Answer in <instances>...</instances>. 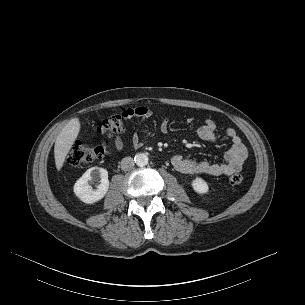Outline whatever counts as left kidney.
<instances>
[{
    "instance_id": "obj_1",
    "label": "left kidney",
    "mask_w": 305,
    "mask_h": 305,
    "mask_svg": "<svg viewBox=\"0 0 305 305\" xmlns=\"http://www.w3.org/2000/svg\"><path fill=\"white\" fill-rule=\"evenodd\" d=\"M192 187L194 191L199 194L207 193L209 190L208 184L202 178L199 177L195 178L192 181Z\"/></svg>"
}]
</instances>
